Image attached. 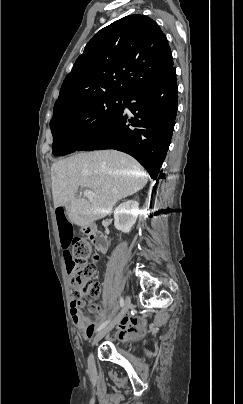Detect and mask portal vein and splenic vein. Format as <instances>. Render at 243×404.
Wrapping results in <instances>:
<instances>
[{
  "label": "portal vein and splenic vein",
  "instance_id": "1",
  "mask_svg": "<svg viewBox=\"0 0 243 404\" xmlns=\"http://www.w3.org/2000/svg\"><path fill=\"white\" fill-rule=\"evenodd\" d=\"M83 194L85 198H88V200H93V198H95V194H93L91 190H84Z\"/></svg>",
  "mask_w": 243,
  "mask_h": 404
}]
</instances>
